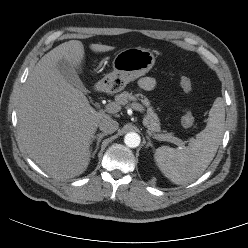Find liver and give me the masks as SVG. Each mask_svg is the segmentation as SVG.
Segmentation results:
<instances>
[{
  "instance_id": "6515ba94",
  "label": "liver",
  "mask_w": 248,
  "mask_h": 248,
  "mask_svg": "<svg viewBox=\"0 0 248 248\" xmlns=\"http://www.w3.org/2000/svg\"><path fill=\"white\" fill-rule=\"evenodd\" d=\"M94 52L115 47L90 44ZM81 41L70 40L45 54L28 76L20 95L18 135L29 157L48 175L69 179L81 175L90 162V144L99 122L109 116L97 112L81 90L60 74L61 59L80 68Z\"/></svg>"
}]
</instances>
